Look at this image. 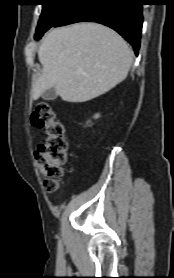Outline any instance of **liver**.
Wrapping results in <instances>:
<instances>
[{"mask_svg":"<svg viewBox=\"0 0 174 278\" xmlns=\"http://www.w3.org/2000/svg\"><path fill=\"white\" fill-rule=\"evenodd\" d=\"M38 59L42 72L32 87V99L54 87L67 102H86L108 92L126 78L133 61L119 34L91 22L51 30Z\"/></svg>","mask_w":174,"mask_h":278,"instance_id":"1","label":"liver"}]
</instances>
